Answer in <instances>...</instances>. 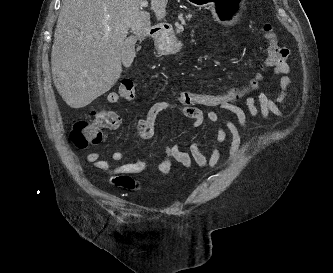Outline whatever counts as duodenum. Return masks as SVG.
<instances>
[{"label":"duodenum","instance_id":"duodenum-1","mask_svg":"<svg viewBox=\"0 0 333 273\" xmlns=\"http://www.w3.org/2000/svg\"><path fill=\"white\" fill-rule=\"evenodd\" d=\"M162 28L160 26H156V27H153L151 30H150V33L151 34H157L159 33V31L161 30Z\"/></svg>","mask_w":333,"mask_h":273}]
</instances>
